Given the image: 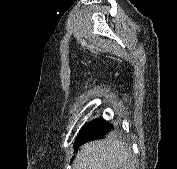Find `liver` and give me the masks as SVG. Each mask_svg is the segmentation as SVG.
I'll list each match as a JSON object with an SVG mask.
<instances>
[{
    "label": "liver",
    "instance_id": "6515ba94",
    "mask_svg": "<svg viewBox=\"0 0 177 169\" xmlns=\"http://www.w3.org/2000/svg\"><path fill=\"white\" fill-rule=\"evenodd\" d=\"M73 169H135L131 149L117 139L83 145L76 154Z\"/></svg>",
    "mask_w": 177,
    "mask_h": 169
}]
</instances>
